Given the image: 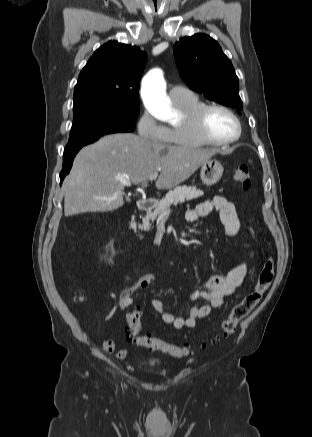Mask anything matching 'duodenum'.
<instances>
[{
  "mask_svg": "<svg viewBox=\"0 0 312 437\" xmlns=\"http://www.w3.org/2000/svg\"><path fill=\"white\" fill-rule=\"evenodd\" d=\"M154 203L155 201L151 197L141 198L137 201V208L139 210H146L152 207ZM134 224H135L134 220H131L129 222V228H132Z\"/></svg>",
  "mask_w": 312,
  "mask_h": 437,
  "instance_id": "410a0bca",
  "label": "duodenum"
}]
</instances>
